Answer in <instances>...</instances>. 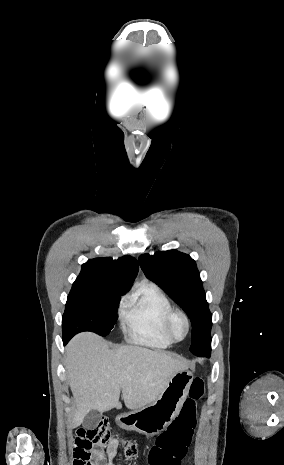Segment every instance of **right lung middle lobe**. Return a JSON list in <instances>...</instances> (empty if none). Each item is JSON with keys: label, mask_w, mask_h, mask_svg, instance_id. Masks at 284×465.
<instances>
[{"label": "right lung middle lobe", "mask_w": 284, "mask_h": 465, "mask_svg": "<svg viewBox=\"0 0 284 465\" xmlns=\"http://www.w3.org/2000/svg\"><path fill=\"white\" fill-rule=\"evenodd\" d=\"M121 295L124 294L102 286L73 283L62 316L63 337L82 331L108 335L117 320Z\"/></svg>", "instance_id": "obj_1"}]
</instances>
